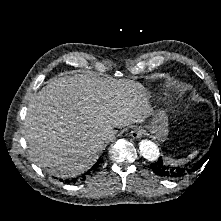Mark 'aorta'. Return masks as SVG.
Masks as SVG:
<instances>
[{
    "mask_svg": "<svg viewBox=\"0 0 221 221\" xmlns=\"http://www.w3.org/2000/svg\"><path fill=\"white\" fill-rule=\"evenodd\" d=\"M139 150L141 155L149 161L157 160L160 154L158 146L150 140H142L139 143Z\"/></svg>",
    "mask_w": 221,
    "mask_h": 221,
    "instance_id": "aorta-1",
    "label": "aorta"
}]
</instances>
